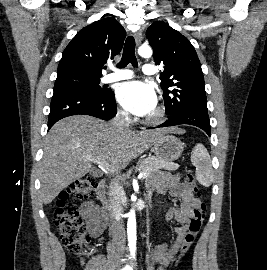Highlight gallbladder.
Segmentation results:
<instances>
[{
    "mask_svg": "<svg viewBox=\"0 0 267 270\" xmlns=\"http://www.w3.org/2000/svg\"><path fill=\"white\" fill-rule=\"evenodd\" d=\"M90 174L93 177H101V175H102V173L98 170H91Z\"/></svg>",
    "mask_w": 267,
    "mask_h": 270,
    "instance_id": "bac80fb5",
    "label": "gallbladder"
}]
</instances>
